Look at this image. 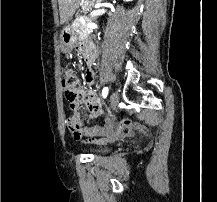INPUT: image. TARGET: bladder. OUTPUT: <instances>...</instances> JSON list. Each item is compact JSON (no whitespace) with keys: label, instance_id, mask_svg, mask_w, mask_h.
Instances as JSON below:
<instances>
[{"label":"bladder","instance_id":"obj_1","mask_svg":"<svg viewBox=\"0 0 217 202\" xmlns=\"http://www.w3.org/2000/svg\"><path fill=\"white\" fill-rule=\"evenodd\" d=\"M109 147H110V145L100 143L99 149H95L94 153H95V155H101V153L104 152V150L108 149Z\"/></svg>","mask_w":217,"mask_h":202}]
</instances>
